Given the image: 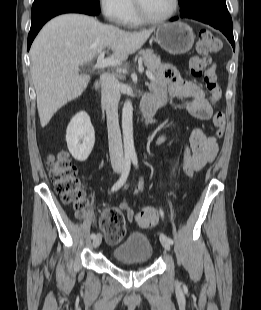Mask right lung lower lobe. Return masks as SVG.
Listing matches in <instances>:
<instances>
[{
	"mask_svg": "<svg viewBox=\"0 0 261 310\" xmlns=\"http://www.w3.org/2000/svg\"><path fill=\"white\" fill-rule=\"evenodd\" d=\"M63 13H83L95 16L100 13V8L81 2L54 1L32 9L31 29L28 35L27 43L28 50L42 26L54 16Z\"/></svg>",
	"mask_w": 261,
	"mask_h": 310,
	"instance_id": "obj_1",
	"label": "right lung lower lobe"
}]
</instances>
